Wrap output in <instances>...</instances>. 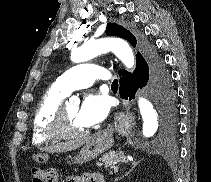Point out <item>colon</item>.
Returning a JSON list of instances; mask_svg holds the SVG:
<instances>
[{"mask_svg": "<svg viewBox=\"0 0 211 182\" xmlns=\"http://www.w3.org/2000/svg\"><path fill=\"white\" fill-rule=\"evenodd\" d=\"M32 177L35 182H56V171L53 168L32 169Z\"/></svg>", "mask_w": 211, "mask_h": 182, "instance_id": "5ec220e1", "label": "colon"}]
</instances>
